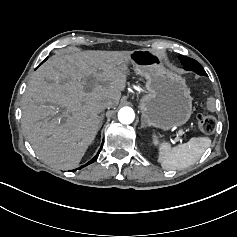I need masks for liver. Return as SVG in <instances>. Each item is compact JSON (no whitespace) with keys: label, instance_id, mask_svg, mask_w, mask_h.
I'll list each match as a JSON object with an SVG mask.
<instances>
[{"label":"liver","instance_id":"1","mask_svg":"<svg viewBox=\"0 0 237 237\" xmlns=\"http://www.w3.org/2000/svg\"><path fill=\"white\" fill-rule=\"evenodd\" d=\"M130 53L54 55L34 73L22 98L21 122L41 161L65 170L78 166L97 134L101 102L119 103Z\"/></svg>","mask_w":237,"mask_h":237}]
</instances>
